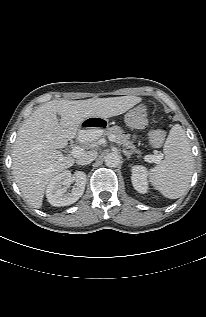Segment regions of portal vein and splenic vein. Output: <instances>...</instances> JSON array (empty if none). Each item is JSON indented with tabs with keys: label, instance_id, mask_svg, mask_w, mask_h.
<instances>
[{
	"label": "portal vein and splenic vein",
	"instance_id": "portal-vein-and-splenic-vein-1",
	"mask_svg": "<svg viewBox=\"0 0 206 317\" xmlns=\"http://www.w3.org/2000/svg\"><path fill=\"white\" fill-rule=\"evenodd\" d=\"M109 141L111 142H115V137L114 136H110L109 137ZM83 153V149L80 148V147H74L72 150H71V154L72 156L74 157H78L79 155H81ZM162 159V156L159 155V154H156V155H146L145 156V160L147 162H158Z\"/></svg>",
	"mask_w": 206,
	"mask_h": 317
}]
</instances>
